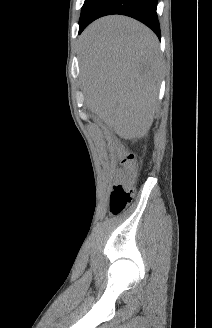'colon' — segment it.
Wrapping results in <instances>:
<instances>
[{
  "instance_id": "colon-1",
  "label": "colon",
  "mask_w": 212,
  "mask_h": 328,
  "mask_svg": "<svg viewBox=\"0 0 212 328\" xmlns=\"http://www.w3.org/2000/svg\"><path fill=\"white\" fill-rule=\"evenodd\" d=\"M117 151L121 156L124 170L121 181L112 187L110 193L109 211L114 216L122 213L131 202L134 195L133 183L137 174L134 155L125 152L120 147H117Z\"/></svg>"
}]
</instances>
